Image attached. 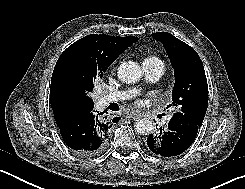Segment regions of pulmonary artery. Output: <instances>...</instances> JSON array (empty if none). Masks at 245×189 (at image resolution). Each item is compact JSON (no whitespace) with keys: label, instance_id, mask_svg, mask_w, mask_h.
Wrapping results in <instances>:
<instances>
[{"label":"pulmonary artery","instance_id":"1","mask_svg":"<svg viewBox=\"0 0 245 189\" xmlns=\"http://www.w3.org/2000/svg\"><path fill=\"white\" fill-rule=\"evenodd\" d=\"M142 69L147 81L155 82L164 73V64L162 62H147L143 61ZM135 95L134 91H117L108 93L101 97V105L105 107L110 102H119L132 98Z\"/></svg>","mask_w":245,"mask_h":189}]
</instances>
